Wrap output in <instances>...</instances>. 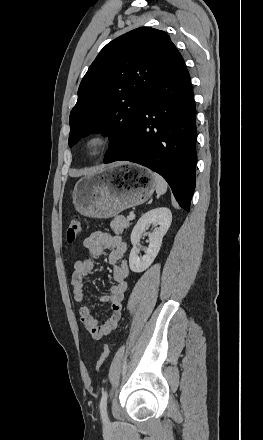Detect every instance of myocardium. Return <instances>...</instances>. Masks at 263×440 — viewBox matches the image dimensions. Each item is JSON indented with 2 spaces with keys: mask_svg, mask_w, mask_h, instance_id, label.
Masks as SVG:
<instances>
[{
  "mask_svg": "<svg viewBox=\"0 0 263 440\" xmlns=\"http://www.w3.org/2000/svg\"><path fill=\"white\" fill-rule=\"evenodd\" d=\"M111 139L104 132H92L82 141V153L86 159L93 160L102 156L109 148Z\"/></svg>",
  "mask_w": 263,
  "mask_h": 440,
  "instance_id": "1",
  "label": "myocardium"
}]
</instances>
